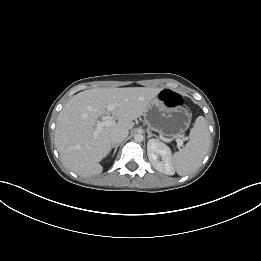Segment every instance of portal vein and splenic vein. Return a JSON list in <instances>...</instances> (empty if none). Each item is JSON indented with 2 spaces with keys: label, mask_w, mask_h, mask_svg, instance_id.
<instances>
[{
  "label": "portal vein and splenic vein",
  "mask_w": 261,
  "mask_h": 261,
  "mask_svg": "<svg viewBox=\"0 0 261 261\" xmlns=\"http://www.w3.org/2000/svg\"><path fill=\"white\" fill-rule=\"evenodd\" d=\"M116 105L115 104H110L107 105V110L112 112L115 109ZM115 121L113 119H105L102 121H97L95 124V130L93 132L94 139L97 138L98 134L103 130L104 127H109L114 125ZM177 145L178 147H181L183 145V141L181 139H177Z\"/></svg>",
  "instance_id": "obj_1"
}]
</instances>
